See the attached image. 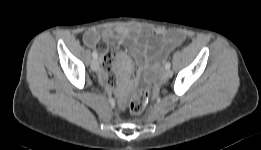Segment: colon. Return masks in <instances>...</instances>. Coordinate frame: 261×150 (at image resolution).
<instances>
[{
    "label": "colon",
    "instance_id": "obj_1",
    "mask_svg": "<svg viewBox=\"0 0 261 150\" xmlns=\"http://www.w3.org/2000/svg\"><path fill=\"white\" fill-rule=\"evenodd\" d=\"M149 100V91L146 88L138 90L130 103V111L134 115H140L144 112Z\"/></svg>",
    "mask_w": 261,
    "mask_h": 150
}]
</instances>
